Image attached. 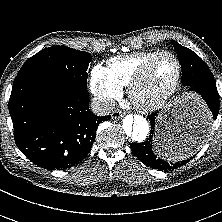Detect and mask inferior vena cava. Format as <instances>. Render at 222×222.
<instances>
[{
	"label": "inferior vena cava",
	"instance_id": "1",
	"mask_svg": "<svg viewBox=\"0 0 222 222\" xmlns=\"http://www.w3.org/2000/svg\"><path fill=\"white\" fill-rule=\"evenodd\" d=\"M115 108V102L113 100H93L91 103V109L96 115H108Z\"/></svg>",
	"mask_w": 222,
	"mask_h": 222
}]
</instances>
